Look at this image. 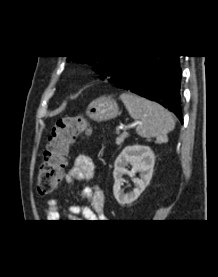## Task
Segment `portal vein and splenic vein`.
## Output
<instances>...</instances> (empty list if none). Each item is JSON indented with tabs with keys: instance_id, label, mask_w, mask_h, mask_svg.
<instances>
[{
	"instance_id": "18ae733b",
	"label": "portal vein and splenic vein",
	"mask_w": 218,
	"mask_h": 277,
	"mask_svg": "<svg viewBox=\"0 0 218 277\" xmlns=\"http://www.w3.org/2000/svg\"><path fill=\"white\" fill-rule=\"evenodd\" d=\"M130 126H126L125 129L129 128Z\"/></svg>"
}]
</instances>
